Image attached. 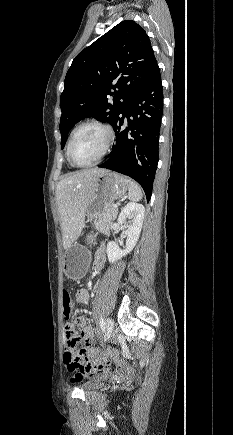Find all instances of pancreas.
Instances as JSON below:
<instances>
[{"label":"pancreas","instance_id":"pancreas-1","mask_svg":"<svg viewBox=\"0 0 233 435\" xmlns=\"http://www.w3.org/2000/svg\"><path fill=\"white\" fill-rule=\"evenodd\" d=\"M118 209L112 205L107 206L102 214V217L93 222L95 229L101 233H107L110 228V223L117 217Z\"/></svg>","mask_w":233,"mask_h":435}]
</instances>
